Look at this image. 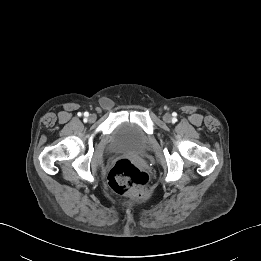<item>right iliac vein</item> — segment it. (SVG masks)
Here are the masks:
<instances>
[{"mask_svg": "<svg viewBox=\"0 0 261 261\" xmlns=\"http://www.w3.org/2000/svg\"><path fill=\"white\" fill-rule=\"evenodd\" d=\"M95 120H96V115H95V114H91V115L89 116V121H90V122H95Z\"/></svg>", "mask_w": 261, "mask_h": 261, "instance_id": "63e3f726", "label": "right iliac vein"}]
</instances>
